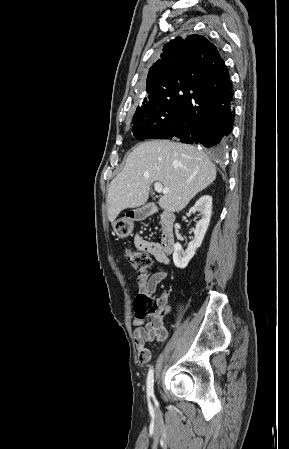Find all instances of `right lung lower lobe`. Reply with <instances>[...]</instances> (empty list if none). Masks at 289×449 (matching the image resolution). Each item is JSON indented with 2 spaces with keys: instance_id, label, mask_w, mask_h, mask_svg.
<instances>
[{
  "instance_id": "98d812e1",
  "label": "right lung lower lobe",
  "mask_w": 289,
  "mask_h": 449,
  "mask_svg": "<svg viewBox=\"0 0 289 449\" xmlns=\"http://www.w3.org/2000/svg\"><path fill=\"white\" fill-rule=\"evenodd\" d=\"M176 118L152 138L178 137L214 152L224 149L234 124L233 86L226 65L206 81L181 82Z\"/></svg>"
}]
</instances>
